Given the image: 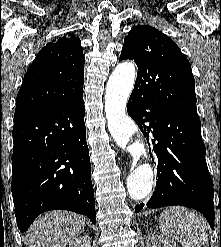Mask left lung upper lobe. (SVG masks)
<instances>
[{
	"mask_svg": "<svg viewBox=\"0 0 221 247\" xmlns=\"http://www.w3.org/2000/svg\"><path fill=\"white\" fill-rule=\"evenodd\" d=\"M138 66L133 94L176 115L199 120L191 65L176 43L149 25L133 26L119 61Z\"/></svg>",
	"mask_w": 221,
	"mask_h": 247,
	"instance_id": "left-lung-upper-lobe-1",
	"label": "left lung upper lobe"
}]
</instances>
